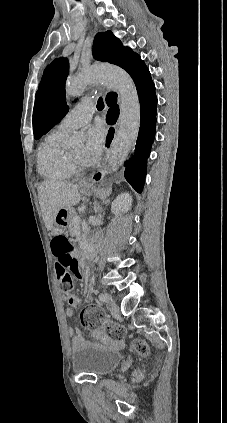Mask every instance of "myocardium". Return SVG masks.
I'll use <instances>...</instances> for the list:
<instances>
[{"mask_svg": "<svg viewBox=\"0 0 227 423\" xmlns=\"http://www.w3.org/2000/svg\"><path fill=\"white\" fill-rule=\"evenodd\" d=\"M69 156L71 158V161H72L73 165L77 169H82V168L85 167L83 161L81 159H79L78 157H76L72 152H69Z\"/></svg>", "mask_w": 227, "mask_h": 423, "instance_id": "1", "label": "myocardium"}]
</instances>
